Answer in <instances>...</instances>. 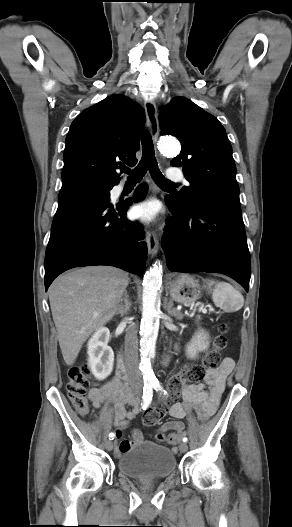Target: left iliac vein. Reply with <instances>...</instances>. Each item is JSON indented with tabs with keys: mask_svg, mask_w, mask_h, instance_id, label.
I'll return each mask as SVG.
<instances>
[{
	"mask_svg": "<svg viewBox=\"0 0 292 527\" xmlns=\"http://www.w3.org/2000/svg\"><path fill=\"white\" fill-rule=\"evenodd\" d=\"M179 450H180L182 453L186 452V451L188 450V445H187V443H186V442L181 443V444L179 445Z\"/></svg>",
	"mask_w": 292,
	"mask_h": 527,
	"instance_id": "1",
	"label": "left iliac vein"
}]
</instances>
